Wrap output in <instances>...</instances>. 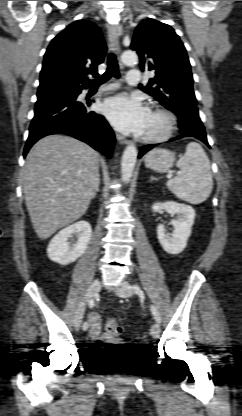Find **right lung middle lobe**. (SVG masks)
Returning <instances> with one entry per match:
<instances>
[{
  "instance_id": "obj_1",
  "label": "right lung middle lobe",
  "mask_w": 242,
  "mask_h": 416,
  "mask_svg": "<svg viewBox=\"0 0 242 416\" xmlns=\"http://www.w3.org/2000/svg\"><path fill=\"white\" fill-rule=\"evenodd\" d=\"M75 92H76V90H73V89H65V90L59 91L58 93L74 94ZM58 93H56V94H58Z\"/></svg>"
}]
</instances>
